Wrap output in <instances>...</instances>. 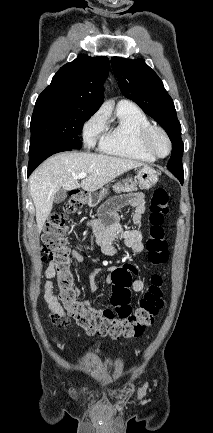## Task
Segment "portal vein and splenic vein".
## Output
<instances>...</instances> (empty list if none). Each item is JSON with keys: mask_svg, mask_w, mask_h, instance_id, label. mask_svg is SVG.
<instances>
[{"mask_svg": "<svg viewBox=\"0 0 213 433\" xmlns=\"http://www.w3.org/2000/svg\"><path fill=\"white\" fill-rule=\"evenodd\" d=\"M86 176H87V174L84 173V172H82V173H79V174L76 176V178L83 179V178H85Z\"/></svg>", "mask_w": 213, "mask_h": 433, "instance_id": "18ae733b", "label": "portal vein and splenic vein"}]
</instances>
